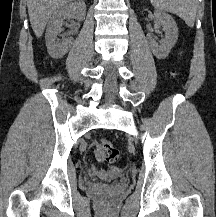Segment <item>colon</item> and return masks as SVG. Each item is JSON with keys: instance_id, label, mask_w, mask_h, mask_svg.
I'll return each instance as SVG.
<instances>
[{"instance_id": "obj_1", "label": "colon", "mask_w": 216, "mask_h": 217, "mask_svg": "<svg viewBox=\"0 0 216 217\" xmlns=\"http://www.w3.org/2000/svg\"><path fill=\"white\" fill-rule=\"evenodd\" d=\"M96 156L101 162L114 163L119 158V150L112 141L101 139L97 142Z\"/></svg>"}]
</instances>
